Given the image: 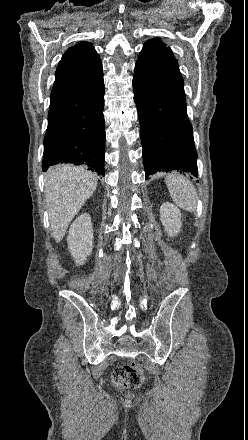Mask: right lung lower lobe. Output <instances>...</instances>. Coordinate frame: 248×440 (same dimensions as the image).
Wrapping results in <instances>:
<instances>
[{"label":"right lung lower lobe","mask_w":248,"mask_h":440,"mask_svg":"<svg viewBox=\"0 0 248 440\" xmlns=\"http://www.w3.org/2000/svg\"><path fill=\"white\" fill-rule=\"evenodd\" d=\"M104 80L50 99L42 170L58 163L84 165L105 175Z\"/></svg>","instance_id":"right-lung-lower-lobe-1"}]
</instances>
